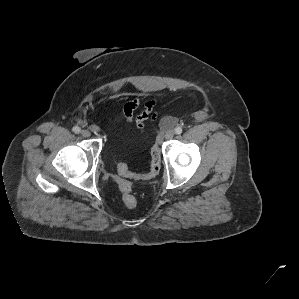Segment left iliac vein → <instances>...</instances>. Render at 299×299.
<instances>
[{
  "mask_svg": "<svg viewBox=\"0 0 299 299\" xmlns=\"http://www.w3.org/2000/svg\"><path fill=\"white\" fill-rule=\"evenodd\" d=\"M174 137V131L173 130H168L167 132H166V134H165V138L167 139V140H170V139H172Z\"/></svg>",
  "mask_w": 299,
  "mask_h": 299,
  "instance_id": "left-iliac-vein-1",
  "label": "left iliac vein"
}]
</instances>
